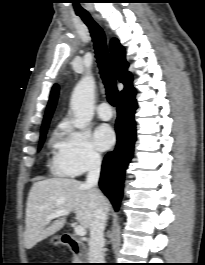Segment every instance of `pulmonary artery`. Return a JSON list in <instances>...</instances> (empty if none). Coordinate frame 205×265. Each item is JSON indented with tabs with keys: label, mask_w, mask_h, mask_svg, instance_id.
Returning <instances> with one entry per match:
<instances>
[{
	"label": "pulmonary artery",
	"mask_w": 205,
	"mask_h": 265,
	"mask_svg": "<svg viewBox=\"0 0 205 265\" xmlns=\"http://www.w3.org/2000/svg\"><path fill=\"white\" fill-rule=\"evenodd\" d=\"M98 115L102 120H109L112 118V109L107 102H103L98 106Z\"/></svg>",
	"instance_id": "obj_1"
}]
</instances>
